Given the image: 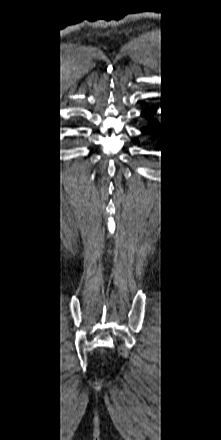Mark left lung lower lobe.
Instances as JSON below:
<instances>
[{
    "label": "left lung lower lobe",
    "mask_w": 221,
    "mask_h": 440,
    "mask_svg": "<svg viewBox=\"0 0 221 440\" xmlns=\"http://www.w3.org/2000/svg\"><path fill=\"white\" fill-rule=\"evenodd\" d=\"M154 112H155V109H148V110L144 111L142 114L145 115V116H150ZM149 121L151 123V126L149 127V129L153 128L155 130V132H157L158 131V126H159L158 122L157 121H153L151 119H149ZM146 131H147L146 129H143V132H146Z\"/></svg>",
    "instance_id": "left-lung-lower-lobe-1"
}]
</instances>
